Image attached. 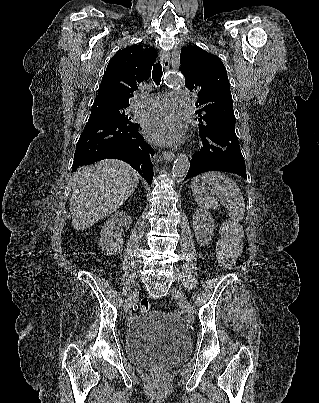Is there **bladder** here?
<instances>
[{
    "label": "bladder",
    "mask_w": 319,
    "mask_h": 403,
    "mask_svg": "<svg viewBox=\"0 0 319 403\" xmlns=\"http://www.w3.org/2000/svg\"><path fill=\"white\" fill-rule=\"evenodd\" d=\"M129 361L147 369H164L185 360L191 351L187 332L170 315L148 311L125 333Z\"/></svg>",
    "instance_id": "bladder-1"
}]
</instances>
